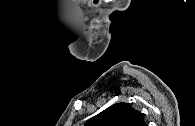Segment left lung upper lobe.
Wrapping results in <instances>:
<instances>
[{
  "instance_id": "left-lung-upper-lobe-1",
  "label": "left lung upper lobe",
  "mask_w": 195,
  "mask_h": 126,
  "mask_svg": "<svg viewBox=\"0 0 195 126\" xmlns=\"http://www.w3.org/2000/svg\"><path fill=\"white\" fill-rule=\"evenodd\" d=\"M85 126H147L143 114L129 103H117L91 118Z\"/></svg>"
}]
</instances>
